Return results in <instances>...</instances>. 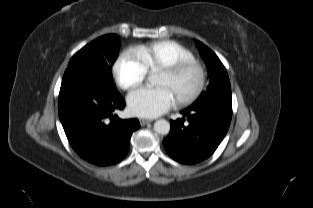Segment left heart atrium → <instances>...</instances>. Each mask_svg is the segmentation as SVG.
<instances>
[{
    "label": "left heart atrium",
    "instance_id": "1",
    "mask_svg": "<svg viewBox=\"0 0 313 208\" xmlns=\"http://www.w3.org/2000/svg\"><path fill=\"white\" fill-rule=\"evenodd\" d=\"M174 103V96L165 86L141 87L128 96L130 111L141 117H156L167 111Z\"/></svg>",
    "mask_w": 313,
    "mask_h": 208
}]
</instances>
